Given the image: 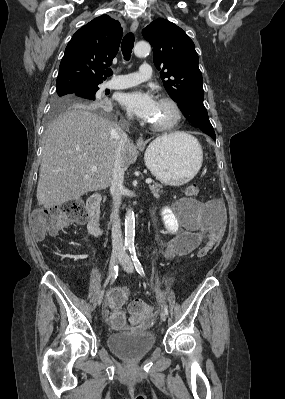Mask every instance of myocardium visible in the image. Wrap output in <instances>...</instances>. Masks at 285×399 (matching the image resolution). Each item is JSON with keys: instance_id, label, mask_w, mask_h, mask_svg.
<instances>
[{"instance_id": "obj_1", "label": "myocardium", "mask_w": 285, "mask_h": 399, "mask_svg": "<svg viewBox=\"0 0 285 399\" xmlns=\"http://www.w3.org/2000/svg\"><path fill=\"white\" fill-rule=\"evenodd\" d=\"M159 102L168 104L174 111V119L166 124H150V127L157 131H168L176 127L182 118V109L179 103L169 96H162L158 100Z\"/></svg>"}]
</instances>
